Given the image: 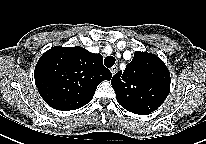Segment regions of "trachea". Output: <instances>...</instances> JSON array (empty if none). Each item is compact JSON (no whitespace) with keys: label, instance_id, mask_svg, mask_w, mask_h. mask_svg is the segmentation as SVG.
Listing matches in <instances>:
<instances>
[{"label":"trachea","instance_id":"3493384b","mask_svg":"<svg viewBox=\"0 0 206 144\" xmlns=\"http://www.w3.org/2000/svg\"><path fill=\"white\" fill-rule=\"evenodd\" d=\"M104 64L108 68L112 67L115 64V58L113 56H107L104 59Z\"/></svg>","mask_w":206,"mask_h":144}]
</instances>
